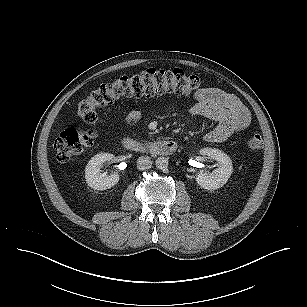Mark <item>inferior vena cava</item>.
Returning a JSON list of instances; mask_svg holds the SVG:
<instances>
[{"label": "inferior vena cava", "mask_w": 307, "mask_h": 307, "mask_svg": "<svg viewBox=\"0 0 307 307\" xmlns=\"http://www.w3.org/2000/svg\"><path fill=\"white\" fill-rule=\"evenodd\" d=\"M152 167V161L146 157V156H141L137 159V168L139 170H146L150 169Z\"/></svg>", "instance_id": "602c4592"}]
</instances>
